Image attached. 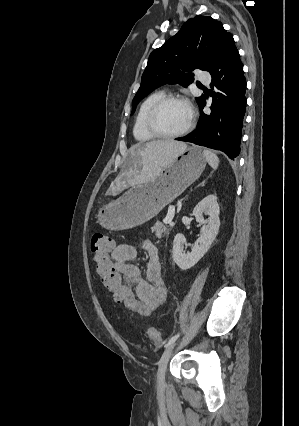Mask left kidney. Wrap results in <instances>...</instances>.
I'll use <instances>...</instances> for the list:
<instances>
[{
    "mask_svg": "<svg viewBox=\"0 0 299 426\" xmlns=\"http://www.w3.org/2000/svg\"><path fill=\"white\" fill-rule=\"evenodd\" d=\"M219 213L220 208L215 195L206 196L195 206L193 215L196 221L202 224V228L200 237L191 247V252L185 253L183 250L184 245L191 246L183 234H177L173 241V260L180 269L187 270L193 267L209 250L219 231ZM204 215H208L207 220H204Z\"/></svg>",
    "mask_w": 299,
    "mask_h": 426,
    "instance_id": "5707ae66",
    "label": "left kidney"
}]
</instances>
